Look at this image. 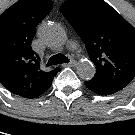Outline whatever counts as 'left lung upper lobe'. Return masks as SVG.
<instances>
[{
	"label": "left lung upper lobe",
	"mask_w": 135,
	"mask_h": 135,
	"mask_svg": "<svg viewBox=\"0 0 135 135\" xmlns=\"http://www.w3.org/2000/svg\"><path fill=\"white\" fill-rule=\"evenodd\" d=\"M60 10L96 66L91 79L122 90L135 77V28L103 0H67Z\"/></svg>",
	"instance_id": "1"
}]
</instances>
